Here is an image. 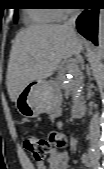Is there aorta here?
Instances as JSON below:
<instances>
[{
  "label": "aorta",
  "instance_id": "762f6f07",
  "mask_svg": "<svg viewBox=\"0 0 104 169\" xmlns=\"http://www.w3.org/2000/svg\"><path fill=\"white\" fill-rule=\"evenodd\" d=\"M103 56V33H101V37L99 38V45L96 50V57H102Z\"/></svg>",
  "mask_w": 104,
  "mask_h": 169
}]
</instances>
